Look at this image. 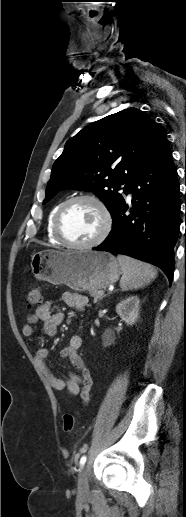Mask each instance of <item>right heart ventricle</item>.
I'll use <instances>...</instances> for the list:
<instances>
[{
    "mask_svg": "<svg viewBox=\"0 0 186 517\" xmlns=\"http://www.w3.org/2000/svg\"><path fill=\"white\" fill-rule=\"evenodd\" d=\"M64 202H60L58 204H56L52 209L51 211L49 212V215H48V218H47V224H46V231H47V237L49 239V241L52 243V244H55V245H60L62 244L61 241L55 236V233H54V228H53V224H54V217L59 209V207L63 204Z\"/></svg>",
    "mask_w": 186,
    "mask_h": 517,
    "instance_id": "right-heart-ventricle-1",
    "label": "right heart ventricle"
}]
</instances>
